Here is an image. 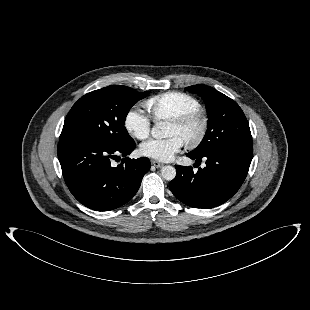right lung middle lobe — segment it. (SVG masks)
Segmentation results:
<instances>
[{"label": "right lung middle lobe", "mask_w": 310, "mask_h": 310, "mask_svg": "<svg viewBox=\"0 0 310 310\" xmlns=\"http://www.w3.org/2000/svg\"><path fill=\"white\" fill-rule=\"evenodd\" d=\"M147 94L111 85L82 96L69 111L60 140L92 139L116 146L133 141L124 126L125 119L131 107Z\"/></svg>", "instance_id": "obj_1"}]
</instances>
